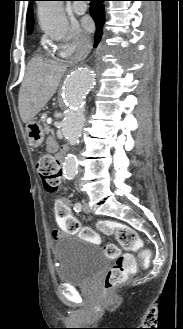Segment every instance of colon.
I'll return each mask as SVG.
<instances>
[{
    "mask_svg": "<svg viewBox=\"0 0 183 329\" xmlns=\"http://www.w3.org/2000/svg\"><path fill=\"white\" fill-rule=\"evenodd\" d=\"M37 171L48 192H55L59 189L62 182V169L55 157L49 154L42 155L37 162ZM98 226L103 234L115 236L123 248L139 251L142 262L147 263L149 261L148 250L143 247L142 242L131 227L109 220L100 221ZM105 252L109 257L116 258L115 264L107 272L104 279L105 290H110L120 286L133 275L136 272L137 264L133 254H119V249L113 244L106 245Z\"/></svg>",
    "mask_w": 183,
    "mask_h": 329,
    "instance_id": "colon-1",
    "label": "colon"
}]
</instances>
